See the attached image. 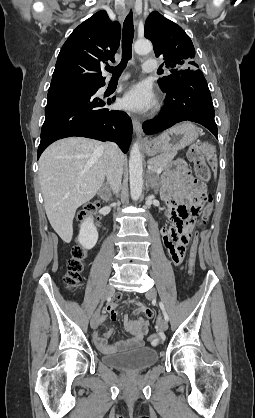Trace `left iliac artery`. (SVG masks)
Listing matches in <instances>:
<instances>
[{"mask_svg":"<svg viewBox=\"0 0 255 418\" xmlns=\"http://www.w3.org/2000/svg\"><path fill=\"white\" fill-rule=\"evenodd\" d=\"M160 307H161V309L163 311V315H164L165 320L166 321H169V316H168V314H167V312H166V310H165L164 305H163L162 302H160Z\"/></svg>","mask_w":255,"mask_h":418,"instance_id":"left-iliac-artery-1","label":"left iliac artery"}]
</instances>
